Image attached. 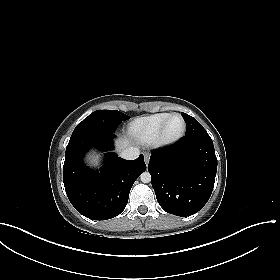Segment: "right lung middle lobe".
I'll return each instance as SVG.
<instances>
[{"label":"right lung middle lobe","instance_id":"right-lung-middle-lobe-1","mask_svg":"<svg viewBox=\"0 0 280 280\" xmlns=\"http://www.w3.org/2000/svg\"><path fill=\"white\" fill-rule=\"evenodd\" d=\"M129 118L117 110H97L76 126L71 138L87 134L113 133L122 121Z\"/></svg>","mask_w":280,"mask_h":280}]
</instances>
